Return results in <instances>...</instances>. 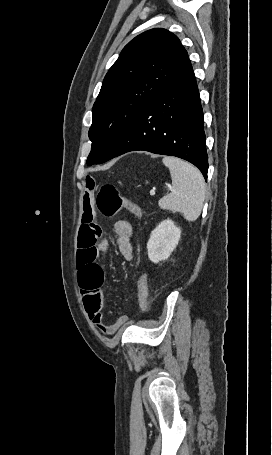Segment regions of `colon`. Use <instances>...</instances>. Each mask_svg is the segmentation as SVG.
Segmentation results:
<instances>
[{"mask_svg":"<svg viewBox=\"0 0 272 455\" xmlns=\"http://www.w3.org/2000/svg\"><path fill=\"white\" fill-rule=\"evenodd\" d=\"M98 210L106 217L115 216L122 208L134 215H139L138 207L130 200L124 198L117 188L110 183H103L96 198ZM148 275L142 272L137 284V304L144 309L148 299Z\"/></svg>","mask_w":272,"mask_h":455,"instance_id":"obj_1","label":"colon"}]
</instances>
